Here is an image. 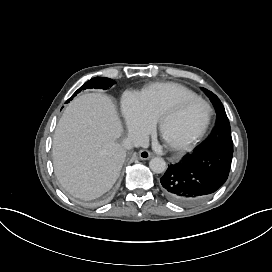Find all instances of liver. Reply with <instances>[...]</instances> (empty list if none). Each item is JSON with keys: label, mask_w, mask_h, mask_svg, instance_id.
I'll use <instances>...</instances> for the list:
<instances>
[{"label": "liver", "mask_w": 272, "mask_h": 272, "mask_svg": "<svg viewBox=\"0 0 272 272\" xmlns=\"http://www.w3.org/2000/svg\"><path fill=\"white\" fill-rule=\"evenodd\" d=\"M121 122L110 98L86 94L66 107L54 133L53 162L62 186L73 196L95 199L119 176L125 149Z\"/></svg>", "instance_id": "liver-1"}]
</instances>
